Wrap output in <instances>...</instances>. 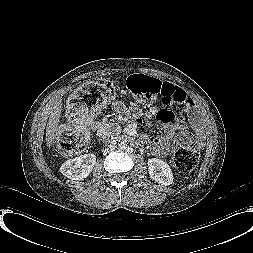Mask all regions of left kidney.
Returning <instances> with one entry per match:
<instances>
[{
  "mask_svg": "<svg viewBox=\"0 0 253 253\" xmlns=\"http://www.w3.org/2000/svg\"><path fill=\"white\" fill-rule=\"evenodd\" d=\"M148 173L150 178L161 185L173 183V173L170 166L163 160L151 158L148 160Z\"/></svg>",
  "mask_w": 253,
  "mask_h": 253,
  "instance_id": "1",
  "label": "left kidney"
}]
</instances>
